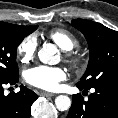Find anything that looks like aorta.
I'll return each instance as SVG.
<instances>
[{
	"instance_id": "762f6f07",
	"label": "aorta",
	"mask_w": 118,
	"mask_h": 118,
	"mask_svg": "<svg viewBox=\"0 0 118 118\" xmlns=\"http://www.w3.org/2000/svg\"><path fill=\"white\" fill-rule=\"evenodd\" d=\"M57 48L53 44L44 45L38 52L39 60L44 64H54V55ZM56 108L60 111H66L71 107V100L66 95H59L55 98Z\"/></svg>"
}]
</instances>
